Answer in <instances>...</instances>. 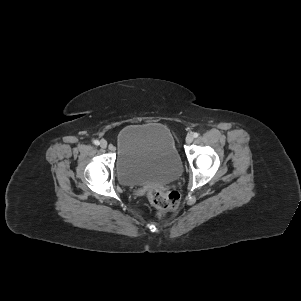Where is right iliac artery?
Segmentation results:
<instances>
[{"label":"right iliac artery","mask_w":301,"mask_h":301,"mask_svg":"<svg viewBox=\"0 0 301 301\" xmlns=\"http://www.w3.org/2000/svg\"><path fill=\"white\" fill-rule=\"evenodd\" d=\"M93 143H94L95 145H99V144H100V142H99L98 140H94Z\"/></svg>","instance_id":"1"}]
</instances>
